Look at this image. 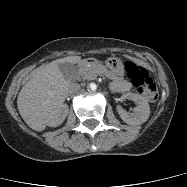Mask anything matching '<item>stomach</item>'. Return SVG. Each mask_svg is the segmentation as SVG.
I'll return each mask as SVG.
<instances>
[{"instance_id": "1", "label": "stomach", "mask_w": 187, "mask_h": 187, "mask_svg": "<svg viewBox=\"0 0 187 187\" xmlns=\"http://www.w3.org/2000/svg\"><path fill=\"white\" fill-rule=\"evenodd\" d=\"M105 65L109 69L114 80H118L124 75V65L119 58L110 57L105 61Z\"/></svg>"}]
</instances>
